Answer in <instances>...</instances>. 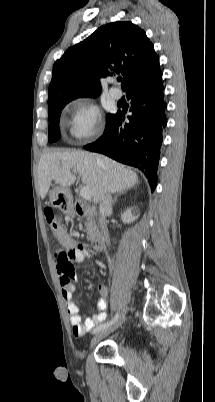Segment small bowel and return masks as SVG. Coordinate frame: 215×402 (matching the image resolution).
Listing matches in <instances>:
<instances>
[{"label": "small bowel", "mask_w": 215, "mask_h": 402, "mask_svg": "<svg viewBox=\"0 0 215 402\" xmlns=\"http://www.w3.org/2000/svg\"><path fill=\"white\" fill-rule=\"evenodd\" d=\"M64 254L69 255L68 260L63 259ZM85 256L86 248L80 245H76L75 243L73 244L72 250H63L61 248L54 253V263L59 275L61 294L63 299L67 303V312L69 314L72 332L76 337H81L85 335L86 332L95 329V326L97 324L104 322L107 318L106 297L108 294V288L105 284H99L98 286L99 299L96 305L98 313L92 317L87 318L84 323H82V319L79 314L78 304L73 299L75 285L72 280L76 277L74 263H82L85 259ZM68 263L72 266V271L65 272L63 270V267Z\"/></svg>", "instance_id": "c3829d8e"}]
</instances>
